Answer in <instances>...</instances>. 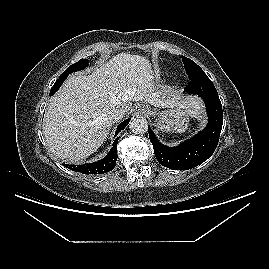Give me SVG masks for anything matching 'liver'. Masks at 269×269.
<instances>
[{
	"label": "liver",
	"mask_w": 269,
	"mask_h": 269,
	"mask_svg": "<svg viewBox=\"0 0 269 269\" xmlns=\"http://www.w3.org/2000/svg\"><path fill=\"white\" fill-rule=\"evenodd\" d=\"M149 60L119 53L101 63L91 74H72L50 99L43 134L51 153L70 163L86 159L106 140L112 124L109 112L121 107L129 112L132 102L144 101L162 108H180L200 117L198 98L181 99L179 93L164 99L154 92Z\"/></svg>",
	"instance_id": "liver-1"
}]
</instances>
